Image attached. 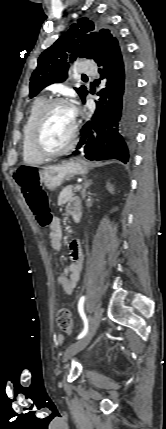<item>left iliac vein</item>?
Returning <instances> with one entry per match:
<instances>
[{"mask_svg": "<svg viewBox=\"0 0 166 429\" xmlns=\"http://www.w3.org/2000/svg\"><path fill=\"white\" fill-rule=\"evenodd\" d=\"M102 317V309L100 306H97L94 312L93 317L90 320V326L87 334L79 341L71 344L65 351L64 360H68L73 355L84 349L93 338Z\"/></svg>", "mask_w": 166, "mask_h": 429, "instance_id": "4c4485c4", "label": "left iliac vein"}]
</instances>
